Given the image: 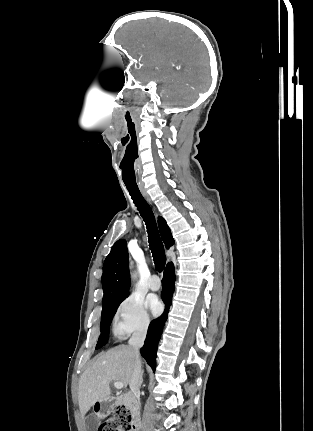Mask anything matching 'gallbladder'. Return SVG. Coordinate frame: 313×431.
<instances>
[{
  "mask_svg": "<svg viewBox=\"0 0 313 431\" xmlns=\"http://www.w3.org/2000/svg\"><path fill=\"white\" fill-rule=\"evenodd\" d=\"M99 423V418L92 416V417H88L86 420V428L87 431H91L95 428V426H97Z\"/></svg>",
  "mask_w": 313,
  "mask_h": 431,
  "instance_id": "obj_1",
  "label": "gallbladder"
}]
</instances>
